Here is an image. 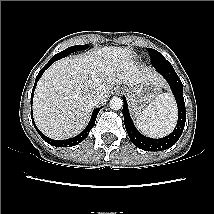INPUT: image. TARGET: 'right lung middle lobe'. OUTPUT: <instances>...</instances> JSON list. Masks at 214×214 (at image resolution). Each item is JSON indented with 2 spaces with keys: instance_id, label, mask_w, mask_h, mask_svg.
<instances>
[{
  "instance_id": "dd1d6c3e",
  "label": "right lung middle lobe",
  "mask_w": 214,
  "mask_h": 214,
  "mask_svg": "<svg viewBox=\"0 0 214 214\" xmlns=\"http://www.w3.org/2000/svg\"><path fill=\"white\" fill-rule=\"evenodd\" d=\"M88 48V45H75V46H71L67 49H65L64 51L54 55L51 59H54V60H59L61 58H64L66 56H68L69 54L73 53V52H76V51H80V50H84V49H87Z\"/></svg>"
}]
</instances>
